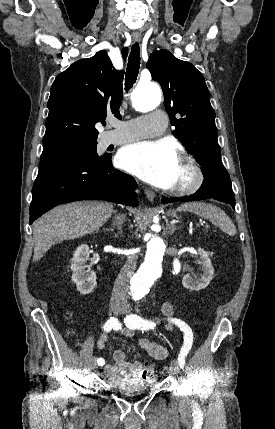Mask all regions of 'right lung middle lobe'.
Listing matches in <instances>:
<instances>
[{"label":"right lung middle lobe","mask_w":275,"mask_h":429,"mask_svg":"<svg viewBox=\"0 0 275 429\" xmlns=\"http://www.w3.org/2000/svg\"><path fill=\"white\" fill-rule=\"evenodd\" d=\"M96 145L97 143L78 145L51 156L41 157L39 169L63 164H89L107 158L108 156L104 155L98 156Z\"/></svg>","instance_id":"dd1d6c3e"}]
</instances>
